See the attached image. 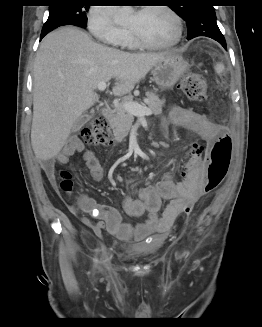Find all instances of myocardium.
<instances>
[{
	"instance_id": "1",
	"label": "myocardium",
	"mask_w": 262,
	"mask_h": 327,
	"mask_svg": "<svg viewBox=\"0 0 262 327\" xmlns=\"http://www.w3.org/2000/svg\"><path fill=\"white\" fill-rule=\"evenodd\" d=\"M147 9H158V10L165 11L167 14H169L170 17L175 22L176 34H175L174 38L168 42L154 43V42L148 41L145 38H143L134 29L129 28V33L133 37L136 44L140 47L147 48V49H168V48L176 46L181 41V39L183 37V31H184L183 21H182V18L180 17V15L172 7H170L168 5H164V4L153 5L150 7H144L140 11L147 10Z\"/></svg>"
}]
</instances>
